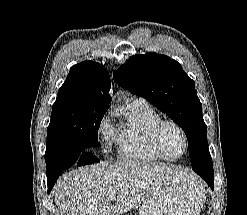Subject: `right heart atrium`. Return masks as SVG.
<instances>
[{
    "mask_svg": "<svg viewBox=\"0 0 247 215\" xmlns=\"http://www.w3.org/2000/svg\"><path fill=\"white\" fill-rule=\"evenodd\" d=\"M97 131L102 139L110 141L114 134L113 120L110 114H105L102 116V118L99 120Z\"/></svg>",
    "mask_w": 247,
    "mask_h": 215,
    "instance_id": "obj_1",
    "label": "right heart atrium"
}]
</instances>
